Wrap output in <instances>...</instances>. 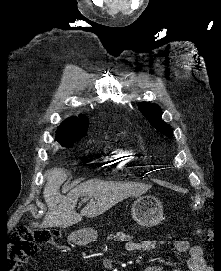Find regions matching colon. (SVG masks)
<instances>
[{
    "label": "colon",
    "mask_w": 221,
    "mask_h": 271,
    "mask_svg": "<svg viewBox=\"0 0 221 271\" xmlns=\"http://www.w3.org/2000/svg\"><path fill=\"white\" fill-rule=\"evenodd\" d=\"M30 221V219L27 220V222ZM198 232L202 236L205 234L201 229ZM58 234L57 231L30 225H25L13 232L9 238V252L7 254L10 270H14L29 256H32L37 251L38 243L49 242Z\"/></svg>",
    "instance_id": "5ec220e1"
}]
</instances>
